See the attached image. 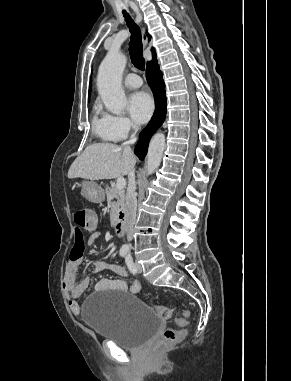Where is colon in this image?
Masks as SVG:
<instances>
[{
	"instance_id": "1",
	"label": "colon",
	"mask_w": 291,
	"mask_h": 381,
	"mask_svg": "<svg viewBox=\"0 0 291 381\" xmlns=\"http://www.w3.org/2000/svg\"><path fill=\"white\" fill-rule=\"evenodd\" d=\"M73 219L78 227V234L82 238V231L94 230L97 226L95 214L86 208H77L73 212ZM156 311L162 319H169L172 316V309L167 306L157 305ZM188 313H184L175 321L177 327H171L164 331L161 340L155 345L154 351H159L165 347L177 344L184 335V329L188 325Z\"/></svg>"
}]
</instances>
